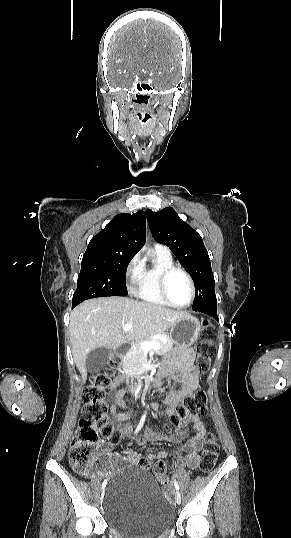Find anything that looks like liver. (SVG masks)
Instances as JSON below:
<instances>
[{
	"instance_id": "1",
	"label": "liver",
	"mask_w": 291,
	"mask_h": 538,
	"mask_svg": "<svg viewBox=\"0 0 291 538\" xmlns=\"http://www.w3.org/2000/svg\"><path fill=\"white\" fill-rule=\"evenodd\" d=\"M187 312L127 297H103L82 302L70 314L69 334L74 362L83 382L86 358L96 348L116 350L124 343L150 338L172 327ZM125 323L132 329L123 331Z\"/></svg>"
}]
</instances>
